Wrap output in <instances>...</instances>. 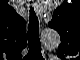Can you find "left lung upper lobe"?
<instances>
[{
    "instance_id": "1",
    "label": "left lung upper lobe",
    "mask_w": 80,
    "mask_h": 60,
    "mask_svg": "<svg viewBox=\"0 0 80 60\" xmlns=\"http://www.w3.org/2000/svg\"><path fill=\"white\" fill-rule=\"evenodd\" d=\"M68 4L64 3L60 7H58L52 17L49 26L54 28L60 34L62 39L61 48L64 49L67 46V42L69 41V33L70 25H69V14L70 10H68Z\"/></svg>"
}]
</instances>
